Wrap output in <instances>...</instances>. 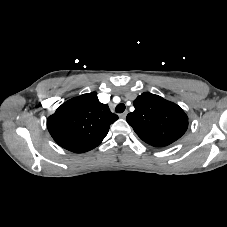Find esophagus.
Returning a JSON list of instances; mask_svg holds the SVG:
<instances>
[{
	"instance_id": "1",
	"label": "esophagus",
	"mask_w": 227,
	"mask_h": 227,
	"mask_svg": "<svg viewBox=\"0 0 227 227\" xmlns=\"http://www.w3.org/2000/svg\"><path fill=\"white\" fill-rule=\"evenodd\" d=\"M127 114H128V111H124L123 113H121L119 115V117L122 118V119H124V118H126Z\"/></svg>"
}]
</instances>
